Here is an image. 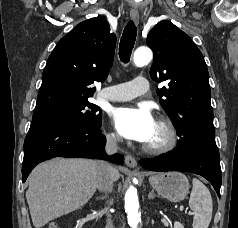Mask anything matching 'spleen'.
<instances>
[{
    "mask_svg": "<svg viewBox=\"0 0 238 228\" xmlns=\"http://www.w3.org/2000/svg\"><path fill=\"white\" fill-rule=\"evenodd\" d=\"M189 206L194 212L193 228H208L212 219V197L208 188L198 179L192 180Z\"/></svg>",
    "mask_w": 238,
    "mask_h": 228,
    "instance_id": "spleen-1",
    "label": "spleen"
}]
</instances>
